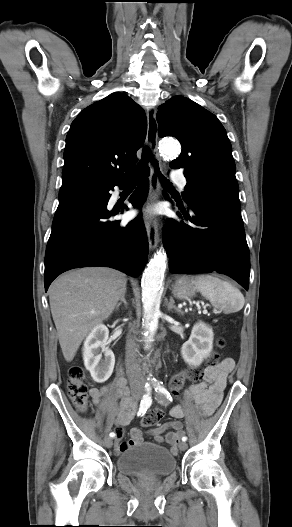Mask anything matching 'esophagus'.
I'll return each instance as SVG.
<instances>
[{"label":"esophagus","mask_w":292,"mask_h":527,"mask_svg":"<svg viewBox=\"0 0 292 527\" xmlns=\"http://www.w3.org/2000/svg\"><path fill=\"white\" fill-rule=\"evenodd\" d=\"M157 133L158 123L156 120V110L155 108H150L147 111L146 142L151 151L154 152L156 159L159 160V156L157 153ZM149 182L150 190L146 203L147 208L157 201L159 194L160 183L158 178L157 166L154 163L151 164ZM144 223L147 231L149 248L153 250L157 247L159 242L157 219L154 216H151L150 214H146Z\"/></svg>","instance_id":"esophagus-1"}]
</instances>
